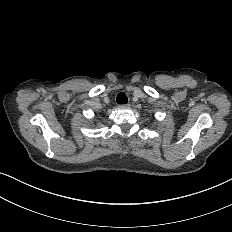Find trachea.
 Returning <instances> with one entry per match:
<instances>
[{
    "instance_id": "3493384b",
    "label": "trachea",
    "mask_w": 232,
    "mask_h": 232,
    "mask_svg": "<svg viewBox=\"0 0 232 232\" xmlns=\"http://www.w3.org/2000/svg\"><path fill=\"white\" fill-rule=\"evenodd\" d=\"M117 103L118 104H127L128 103V98L124 93H119L117 95Z\"/></svg>"
}]
</instances>
